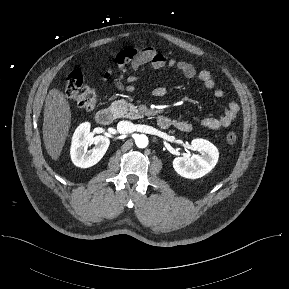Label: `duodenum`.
Wrapping results in <instances>:
<instances>
[{
	"mask_svg": "<svg viewBox=\"0 0 289 289\" xmlns=\"http://www.w3.org/2000/svg\"><path fill=\"white\" fill-rule=\"evenodd\" d=\"M95 119L97 123L101 125H108L113 120V112L109 108H102L96 113ZM171 124L172 121L167 116L160 115L157 117V125L161 129H167L171 126Z\"/></svg>",
	"mask_w": 289,
	"mask_h": 289,
	"instance_id": "obj_1",
	"label": "duodenum"
}]
</instances>
